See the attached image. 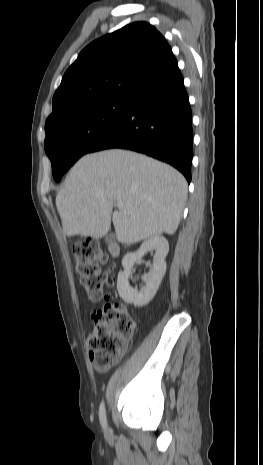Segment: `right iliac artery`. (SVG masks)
Returning a JSON list of instances; mask_svg holds the SVG:
<instances>
[{
  "mask_svg": "<svg viewBox=\"0 0 263 465\" xmlns=\"http://www.w3.org/2000/svg\"><path fill=\"white\" fill-rule=\"evenodd\" d=\"M99 419H100V423H101L103 429H106L107 428V418H106L105 404H104L103 401L101 402L100 408H99Z\"/></svg>",
  "mask_w": 263,
  "mask_h": 465,
  "instance_id": "1",
  "label": "right iliac artery"
}]
</instances>
